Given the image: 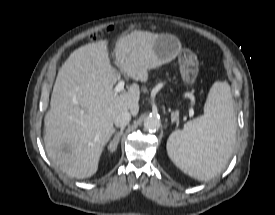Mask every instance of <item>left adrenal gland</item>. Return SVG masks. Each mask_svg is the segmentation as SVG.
Segmentation results:
<instances>
[{
  "label": "left adrenal gland",
  "instance_id": "a2214340",
  "mask_svg": "<svg viewBox=\"0 0 275 215\" xmlns=\"http://www.w3.org/2000/svg\"><path fill=\"white\" fill-rule=\"evenodd\" d=\"M174 122H176V124H179V112H171V123L173 124Z\"/></svg>",
  "mask_w": 275,
  "mask_h": 215
}]
</instances>
